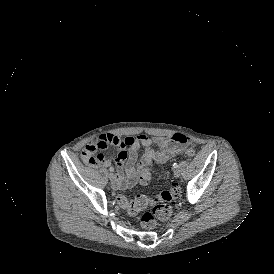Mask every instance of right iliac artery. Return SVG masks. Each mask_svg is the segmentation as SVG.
I'll use <instances>...</instances> for the list:
<instances>
[{"instance_id": "1", "label": "right iliac artery", "mask_w": 274, "mask_h": 274, "mask_svg": "<svg viewBox=\"0 0 274 274\" xmlns=\"http://www.w3.org/2000/svg\"><path fill=\"white\" fill-rule=\"evenodd\" d=\"M109 170H110L111 172H113V171H114V168H113V167H110Z\"/></svg>"}]
</instances>
